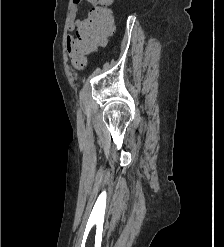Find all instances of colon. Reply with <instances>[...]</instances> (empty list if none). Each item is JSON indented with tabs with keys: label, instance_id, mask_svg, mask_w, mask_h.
I'll return each mask as SVG.
<instances>
[{
	"label": "colon",
	"instance_id": "obj_1",
	"mask_svg": "<svg viewBox=\"0 0 224 247\" xmlns=\"http://www.w3.org/2000/svg\"><path fill=\"white\" fill-rule=\"evenodd\" d=\"M110 0H101V4L93 7L78 33V40L83 52L99 46L114 29V17L109 8ZM83 62L77 61L81 66Z\"/></svg>",
	"mask_w": 224,
	"mask_h": 247
}]
</instances>
